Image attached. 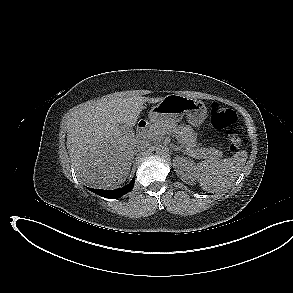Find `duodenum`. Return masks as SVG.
Instances as JSON below:
<instances>
[{
  "instance_id": "410a0bca",
  "label": "duodenum",
  "mask_w": 293,
  "mask_h": 293,
  "mask_svg": "<svg viewBox=\"0 0 293 293\" xmlns=\"http://www.w3.org/2000/svg\"><path fill=\"white\" fill-rule=\"evenodd\" d=\"M148 127H149V123L147 121L145 120L140 121L137 126V136L139 138H142L144 134L146 133Z\"/></svg>"
}]
</instances>
